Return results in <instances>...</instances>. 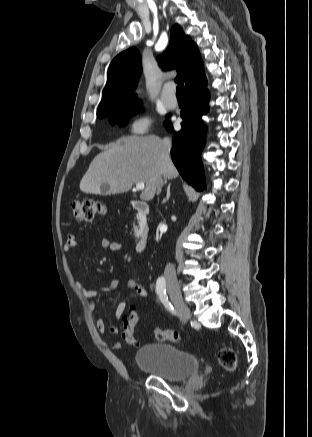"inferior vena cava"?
<instances>
[{"label":"inferior vena cava","mask_w":312,"mask_h":437,"mask_svg":"<svg viewBox=\"0 0 312 437\" xmlns=\"http://www.w3.org/2000/svg\"><path fill=\"white\" fill-rule=\"evenodd\" d=\"M163 146H164V151L167 155L170 154V150L172 147V143H171V139L170 138H164L163 139ZM164 184V181L162 179V177H160L157 181V194H159L161 192L162 186ZM165 271L169 274H175V267L173 264H167L165 267Z\"/></svg>","instance_id":"inferior-vena-cava-1"}]
</instances>
